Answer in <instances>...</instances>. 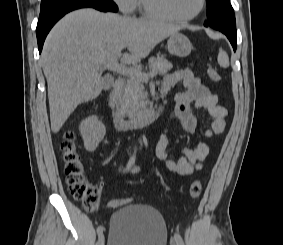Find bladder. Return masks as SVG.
<instances>
[{
    "mask_svg": "<svg viewBox=\"0 0 283 245\" xmlns=\"http://www.w3.org/2000/svg\"><path fill=\"white\" fill-rule=\"evenodd\" d=\"M167 239L162 214L149 205L129 203L110 218L107 245H166Z\"/></svg>",
    "mask_w": 283,
    "mask_h": 245,
    "instance_id": "obj_1",
    "label": "bladder"
}]
</instances>
